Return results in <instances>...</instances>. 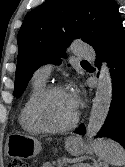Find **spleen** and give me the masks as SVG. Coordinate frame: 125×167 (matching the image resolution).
<instances>
[{
	"mask_svg": "<svg viewBox=\"0 0 125 167\" xmlns=\"http://www.w3.org/2000/svg\"><path fill=\"white\" fill-rule=\"evenodd\" d=\"M92 147L100 160L114 166L125 164V151L117 142L100 139L94 141Z\"/></svg>",
	"mask_w": 125,
	"mask_h": 167,
	"instance_id": "3e777b00",
	"label": "spleen"
}]
</instances>
